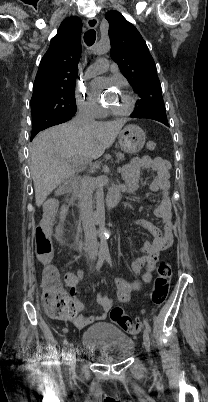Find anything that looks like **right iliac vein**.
Instances as JSON below:
<instances>
[{
	"instance_id": "1",
	"label": "right iliac vein",
	"mask_w": 208,
	"mask_h": 402,
	"mask_svg": "<svg viewBox=\"0 0 208 402\" xmlns=\"http://www.w3.org/2000/svg\"><path fill=\"white\" fill-rule=\"evenodd\" d=\"M68 360H69V366H70L71 370H74L75 365H76V353H75V349L72 345L68 352Z\"/></svg>"
}]
</instances>
